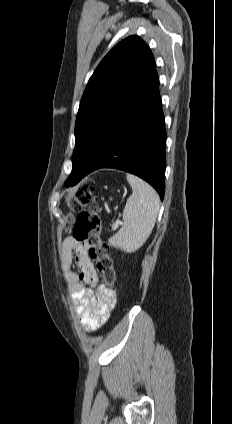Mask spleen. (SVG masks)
Returning a JSON list of instances; mask_svg holds the SVG:
<instances>
[{
	"label": "spleen",
	"mask_w": 232,
	"mask_h": 424,
	"mask_svg": "<svg viewBox=\"0 0 232 424\" xmlns=\"http://www.w3.org/2000/svg\"><path fill=\"white\" fill-rule=\"evenodd\" d=\"M132 195L123 210V225L108 243L127 253L139 249L150 236L160 208L157 192L141 178L127 174Z\"/></svg>",
	"instance_id": "3e777b00"
}]
</instances>
